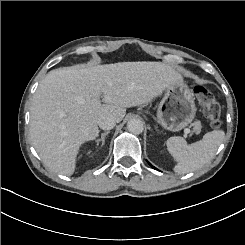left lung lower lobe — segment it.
Segmentation results:
<instances>
[{"mask_svg":"<svg viewBox=\"0 0 245 245\" xmlns=\"http://www.w3.org/2000/svg\"><path fill=\"white\" fill-rule=\"evenodd\" d=\"M149 163V162H148ZM149 165L152 167V168H154V169H156L154 166H152L150 163H149Z\"/></svg>","mask_w":245,"mask_h":245,"instance_id":"obj_1","label":"left lung lower lobe"}]
</instances>
